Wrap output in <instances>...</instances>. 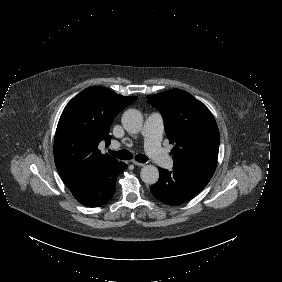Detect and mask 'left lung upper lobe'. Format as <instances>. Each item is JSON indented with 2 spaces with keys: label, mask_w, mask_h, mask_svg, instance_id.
Instances as JSON below:
<instances>
[{
  "label": "left lung upper lobe",
  "mask_w": 282,
  "mask_h": 282,
  "mask_svg": "<svg viewBox=\"0 0 282 282\" xmlns=\"http://www.w3.org/2000/svg\"><path fill=\"white\" fill-rule=\"evenodd\" d=\"M147 102L163 115L174 165L217 164L219 130L209 109L191 94L172 89L148 95Z\"/></svg>",
  "instance_id": "obj_1"
}]
</instances>
